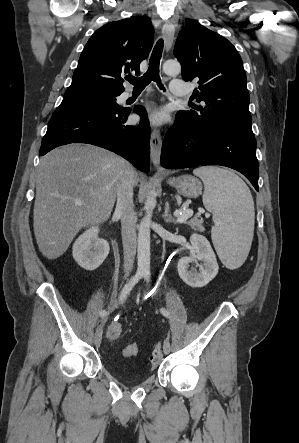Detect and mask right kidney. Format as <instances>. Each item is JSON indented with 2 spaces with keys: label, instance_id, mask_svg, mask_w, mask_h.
Returning a JSON list of instances; mask_svg holds the SVG:
<instances>
[{
  "label": "right kidney",
  "instance_id": "obj_1",
  "mask_svg": "<svg viewBox=\"0 0 299 443\" xmlns=\"http://www.w3.org/2000/svg\"><path fill=\"white\" fill-rule=\"evenodd\" d=\"M99 228L91 226L83 232L73 244V258L85 270L98 268L109 254V244L98 237Z\"/></svg>",
  "mask_w": 299,
  "mask_h": 443
}]
</instances>
